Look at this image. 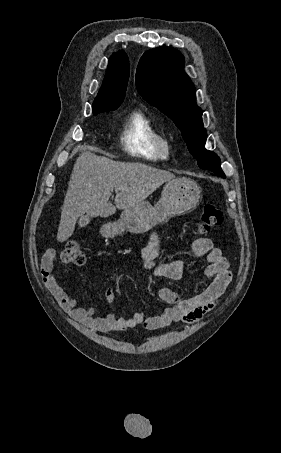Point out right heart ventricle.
<instances>
[{"mask_svg": "<svg viewBox=\"0 0 281 453\" xmlns=\"http://www.w3.org/2000/svg\"><path fill=\"white\" fill-rule=\"evenodd\" d=\"M165 135L142 111H131L123 125L121 142L124 149L147 160L160 159Z\"/></svg>", "mask_w": 281, "mask_h": 453, "instance_id": "1", "label": "right heart ventricle"}]
</instances>
